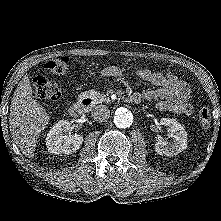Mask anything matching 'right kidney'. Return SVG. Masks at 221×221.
Masks as SVG:
<instances>
[{"label": "right kidney", "mask_w": 221, "mask_h": 221, "mask_svg": "<svg viewBox=\"0 0 221 221\" xmlns=\"http://www.w3.org/2000/svg\"><path fill=\"white\" fill-rule=\"evenodd\" d=\"M71 123L68 120L58 121L48 132L46 146L52 154H71L80 149L84 139L79 134L65 135L70 129Z\"/></svg>", "instance_id": "obj_1"}]
</instances>
